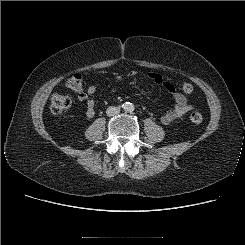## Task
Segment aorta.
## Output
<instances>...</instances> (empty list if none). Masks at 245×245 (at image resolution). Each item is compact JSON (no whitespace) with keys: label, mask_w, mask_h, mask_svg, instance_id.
Segmentation results:
<instances>
[{"label":"aorta","mask_w":245,"mask_h":245,"mask_svg":"<svg viewBox=\"0 0 245 245\" xmlns=\"http://www.w3.org/2000/svg\"><path fill=\"white\" fill-rule=\"evenodd\" d=\"M123 109L125 112H132L134 110V105L130 102H127L123 105Z\"/></svg>","instance_id":"762f6f07"}]
</instances>
